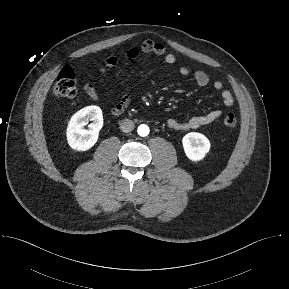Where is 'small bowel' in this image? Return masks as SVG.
<instances>
[{
  "label": "small bowel",
  "mask_w": 289,
  "mask_h": 289,
  "mask_svg": "<svg viewBox=\"0 0 289 289\" xmlns=\"http://www.w3.org/2000/svg\"><path fill=\"white\" fill-rule=\"evenodd\" d=\"M141 54H153L160 56L164 59V62L168 65H173L176 62V57L172 53H168L165 46L157 41L145 40L140 46H132L125 51V57L128 60H135ZM119 58L117 55H109L103 65L99 68L100 73H105L107 70L113 68L117 65ZM179 72L182 76H189L190 74L193 77L194 82L199 87H207L210 84L212 87L219 91L222 104L226 107H230L234 103V98L231 92L223 88V83L219 80L213 81L211 83L210 78L206 72L203 70H194L191 71L187 66L182 65L179 68ZM84 90L86 94L92 100H98L99 95L96 91L95 86L91 82H87L84 85ZM183 91V89H178V92ZM130 101V96L127 92L121 95L120 100L111 107V112L114 115L121 114L125 108L128 106ZM222 110L216 109L202 116H194L189 118L187 121L180 122L176 119H169L168 126L176 130H189V129H198L207 125H210L217 119L222 116Z\"/></svg>",
  "instance_id": "small-bowel-1"
}]
</instances>
